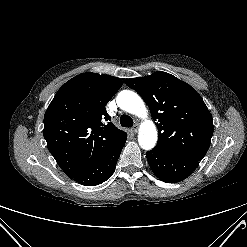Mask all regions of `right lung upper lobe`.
Instances as JSON below:
<instances>
[{"label":"right lung upper lobe","mask_w":247,"mask_h":247,"mask_svg":"<svg viewBox=\"0 0 247 247\" xmlns=\"http://www.w3.org/2000/svg\"><path fill=\"white\" fill-rule=\"evenodd\" d=\"M113 76L82 73L56 93L44 116L47 147L71 179L119 144L127 134L111 122L105 105L122 86Z\"/></svg>","instance_id":"right-lung-upper-lobe-1"}]
</instances>
